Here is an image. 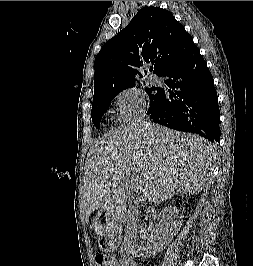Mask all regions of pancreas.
I'll list each match as a JSON object with an SVG mask.
<instances>
[{"instance_id":"pancreas-1","label":"pancreas","mask_w":253,"mask_h":266,"mask_svg":"<svg viewBox=\"0 0 253 266\" xmlns=\"http://www.w3.org/2000/svg\"><path fill=\"white\" fill-rule=\"evenodd\" d=\"M135 213H136V210H133L132 213L131 212L128 213V216L130 217L129 218L130 220H132L131 217H133L135 215Z\"/></svg>"}]
</instances>
